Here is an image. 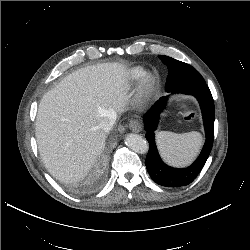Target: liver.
Returning <instances> with one entry per match:
<instances>
[{
    "instance_id": "1",
    "label": "liver",
    "mask_w": 250,
    "mask_h": 250,
    "mask_svg": "<svg viewBox=\"0 0 250 250\" xmlns=\"http://www.w3.org/2000/svg\"><path fill=\"white\" fill-rule=\"evenodd\" d=\"M128 72L120 63H101L67 75L45 93L36 117V140L48 172L62 182L86 176L105 147L99 124L127 102Z\"/></svg>"
}]
</instances>
